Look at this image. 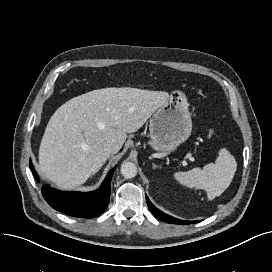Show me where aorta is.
<instances>
[{"label":"aorta","instance_id":"obj_1","mask_svg":"<svg viewBox=\"0 0 272 272\" xmlns=\"http://www.w3.org/2000/svg\"><path fill=\"white\" fill-rule=\"evenodd\" d=\"M121 174L125 178H134L137 175V167L132 162H124L121 166Z\"/></svg>","mask_w":272,"mask_h":272}]
</instances>
